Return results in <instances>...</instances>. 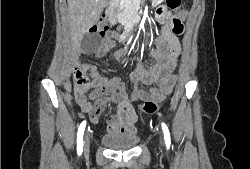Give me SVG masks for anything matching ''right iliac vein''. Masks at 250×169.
<instances>
[{
  "instance_id": "obj_1",
  "label": "right iliac vein",
  "mask_w": 250,
  "mask_h": 169,
  "mask_svg": "<svg viewBox=\"0 0 250 169\" xmlns=\"http://www.w3.org/2000/svg\"><path fill=\"white\" fill-rule=\"evenodd\" d=\"M89 146H90V139H89V134H87L84 139V150L86 153L88 152Z\"/></svg>"
}]
</instances>
